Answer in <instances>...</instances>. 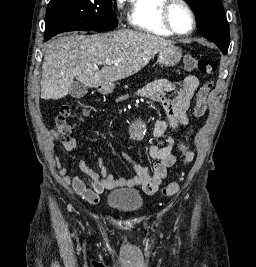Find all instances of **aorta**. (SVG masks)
Segmentation results:
<instances>
[{
	"mask_svg": "<svg viewBox=\"0 0 256 267\" xmlns=\"http://www.w3.org/2000/svg\"><path fill=\"white\" fill-rule=\"evenodd\" d=\"M150 128H131L130 138H147Z\"/></svg>",
	"mask_w": 256,
	"mask_h": 267,
	"instance_id": "1",
	"label": "aorta"
}]
</instances>
